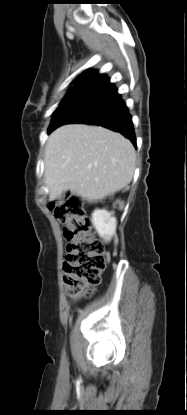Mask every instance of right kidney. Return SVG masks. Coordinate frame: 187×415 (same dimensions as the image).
<instances>
[{
    "mask_svg": "<svg viewBox=\"0 0 187 415\" xmlns=\"http://www.w3.org/2000/svg\"><path fill=\"white\" fill-rule=\"evenodd\" d=\"M92 224L98 235L108 242L115 234L117 221L111 212L105 209H96L92 214Z\"/></svg>",
    "mask_w": 187,
    "mask_h": 415,
    "instance_id": "ca27d5eb",
    "label": "right kidney"
}]
</instances>
